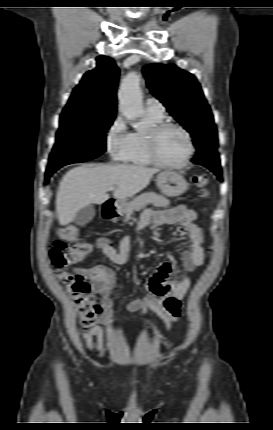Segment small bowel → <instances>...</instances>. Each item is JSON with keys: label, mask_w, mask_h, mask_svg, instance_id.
<instances>
[{"label": "small bowel", "mask_w": 273, "mask_h": 430, "mask_svg": "<svg viewBox=\"0 0 273 430\" xmlns=\"http://www.w3.org/2000/svg\"><path fill=\"white\" fill-rule=\"evenodd\" d=\"M197 213L185 205H178L169 209H147L141 216L137 228L149 225L153 228L164 224L179 223V232L187 234L190 247L183 252V267L185 274L179 279H172L176 270V263L171 260L161 264L156 273L142 288L141 295L128 302L130 311H139L142 315L151 310L163 321L167 331L173 324L179 321L180 302L191 287L189 275L194 273L205 260L203 249L204 236L201 227L196 223ZM96 247L113 263L123 265L130 251V237L125 236L116 250L111 243L100 238ZM75 272L91 280L93 291L100 295L102 314L98 316L92 328L85 333L86 346L91 351H96L100 356L106 353L105 336L102 325L112 323L113 300L111 297L117 277V271L113 268L98 264L92 268H75Z\"/></svg>", "instance_id": "1"}]
</instances>
